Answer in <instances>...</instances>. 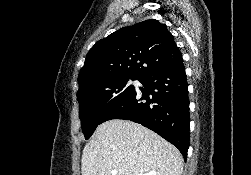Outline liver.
I'll return each instance as SVG.
<instances>
[{
	"instance_id": "6515ba94",
	"label": "liver",
	"mask_w": 251,
	"mask_h": 175,
	"mask_svg": "<svg viewBox=\"0 0 251 175\" xmlns=\"http://www.w3.org/2000/svg\"><path fill=\"white\" fill-rule=\"evenodd\" d=\"M82 175L149 173L181 175L182 155L172 143L128 119H110L98 125L82 153Z\"/></svg>"
}]
</instances>
